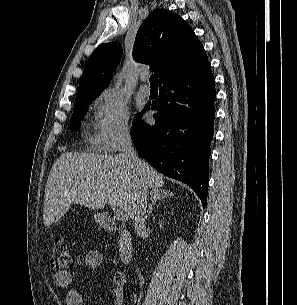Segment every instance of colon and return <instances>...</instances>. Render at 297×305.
I'll list each match as a JSON object with an SVG mask.
<instances>
[{"label": "colon", "instance_id": "obj_1", "mask_svg": "<svg viewBox=\"0 0 297 305\" xmlns=\"http://www.w3.org/2000/svg\"><path fill=\"white\" fill-rule=\"evenodd\" d=\"M52 266L63 270L70 268L75 263V257L70 253L64 239L58 238L54 241L51 249Z\"/></svg>", "mask_w": 297, "mask_h": 305}]
</instances>
